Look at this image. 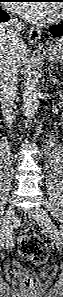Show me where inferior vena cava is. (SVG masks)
Masks as SVG:
<instances>
[{
	"mask_svg": "<svg viewBox=\"0 0 63 297\" xmlns=\"http://www.w3.org/2000/svg\"><path fill=\"white\" fill-rule=\"evenodd\" d=\"M2 36L9 39V48L6 55L0 57V104L2 114L8 127L15 119L14 101L17 92L18 65L16 60V46L21 42L20 32L22 24L16 19H10L0 26Z\"/></svg>",
	"mask_w": 63,
	"mask_h": 297,
	"instance_id": "1",
	"label": "inferior vena cava"
}]
</instances>
